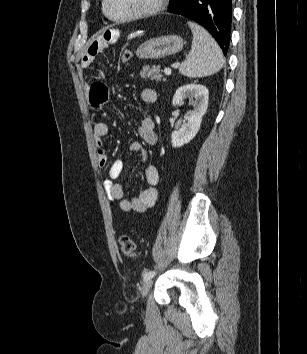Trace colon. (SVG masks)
<instances>
[{"label":"colon","instance_id":"obj_1","mask_svg":"<svg viewBox=\"0 0 307 354\" xmlns=\"http://www.w3.org/2000/svg\"><path fill=\"white\" fill-rule=\"evenodd\" d=\"M132 53L130 50L125 49L121 51L120 59L122 62H127L130 60ZM119 246L121 253L129 258H134L137 256V245L135 241L128 235H121L119 237Z\"/></svg>","mask_w":307,"mask_h":354}]
</instances>
